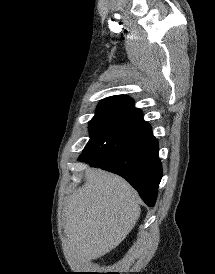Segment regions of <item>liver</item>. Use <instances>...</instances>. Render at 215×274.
<instances>
[{"mask_svg": "<svg viewBox=\"0 0 215 274\" xmlns=\"http://www.w3.org/2000/svg\"><path fill=\"white\" fill-rule=\"evenodd\" d=\"M85 174L84 185L66 198L62 219L70 252L91 260L126 238L141 208L138 193L121 177L96 168Z\"/></svg>", "mask_w": 215, "mask_h": 274, "instance_id": "obj_1", "label": "liver"}]
</instances>
